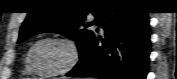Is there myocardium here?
<instances>
[{
	"label": "myocardium",
	"instance_id": "myocardium-1",
	"mask_svg": "<svg viewBox=\"0 0 177 79\" xmlns=\"http://www.w3.org/2000/svg\"><path fill=\"white\" fill-rule=\"evenodd\" d=\"M46 41L60 42L67 45V47L69 48V52H70L69 59L62 68L55 71H43L35 65V62L33 60V52L38 45ZM79 60H80V50L78 45L73 39L66 36L53 35V36L43 37L38 41H36L28 51V64L30 68L33 70V72L39 75L56 76V75L65 74L69 72L71 69H73L78 64Z\"/></svg>",
	"mask_w": 177,
	"mask_h": 79
}]
</instances>
